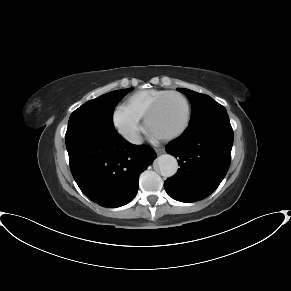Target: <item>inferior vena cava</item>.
Masks as SVG:
<instances>
[{
	"instance_id": "obj_1",
	"label": "inferior vena cava",
	"mask_w": 291,
	"mask_h": 291,
	"mask_svg": "<svg viewBox=\"0 0 291 291\" xmlns=\"http://www.w3.org/2000/svg\"><path fill=\"white\" fill-rule=\"evenodd\" d=\"M129 141L133 144H141L142 140L138 134H133L130 136Z\"/></svg>"
}]
</instances>
